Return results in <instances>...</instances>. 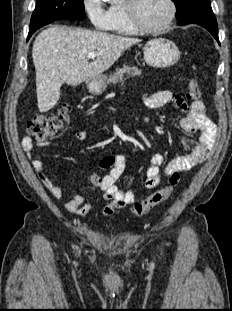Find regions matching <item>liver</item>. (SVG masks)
<instances>
[{"label": "liver", "mask_w": 232, "mask_h": 311, "mask_svg": "<svg viewBox=\"0 0 232 311\" xmlns=\"http://www.w3.org/2000/svg\"><path fill=\"white\" fill-rule=\"evenodd\" d=\"M137 38L63 26L49 27L36 37L32 57L36 70L38 109L49 111L59 100L63 83L77 86L109 69ZM96 52L89 63L88 53Z\"/></svg>", "instance_id": "6515ba94"}]
</instances>
